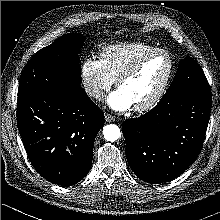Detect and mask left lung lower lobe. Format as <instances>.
Here are the masks:
<instances>
[{"label": "left lung lower lobe", "mask_w": 220, "mask_h": 220, "mask_svg": "<svg viewBox=\"0 0 220 220\" xmlns=\"http://www.w3.org/2000/svg\"><path fill=\"white\" fill-rule=\"evenodd\" d=\"M211 112L210 89L159 102L122 123L126 154L138 178L152 184L182 174L198 157Z\"/></svg>", "instance_id": "left-lung-lower-lobe-1"}]
</instances>
